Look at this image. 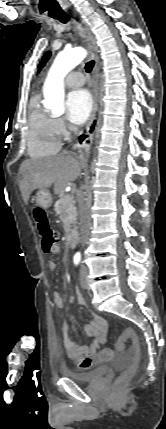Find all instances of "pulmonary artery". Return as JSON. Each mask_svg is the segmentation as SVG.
<instances>
[{
    "label": "pulmonary artery",
    "instance_id": "1",
    "mask_svg": "<svg viewBox=\"0 0 166 429\" xmlns=\"http://www.w3.org/2000/svg\"><path fill=\"white\" fill-rule=\"evenodd\" d=\"M65 82H66L67 86H69L71 88H75V87H79V86L83 85L85 82V78L81 72L76 71V72H71L70 74H68Z\"/></svg>",
    "mask_w": 166,
    "mask_h": 429
}]
</instances>
